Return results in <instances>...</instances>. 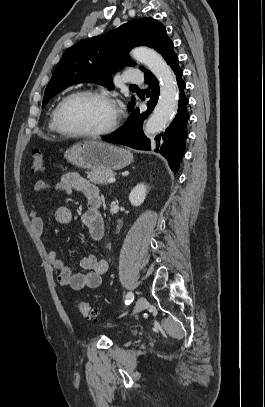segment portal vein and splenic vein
<instances>
[{"label":"portal vein and splenic vein","instance_id":"18ae733b","mask_svg":"<svg viewBox=\"0 0 265 407\" xmlns=\"http://www.w3.org/2000/svg\"><path fill=\"white\" fill-rule=\"evenodd\" d=\"M114 182H115V178H114V177H111V178L108 179V183H114Z\"/></svg>","mask_w":265,"mask_h":407}]
</instances>
